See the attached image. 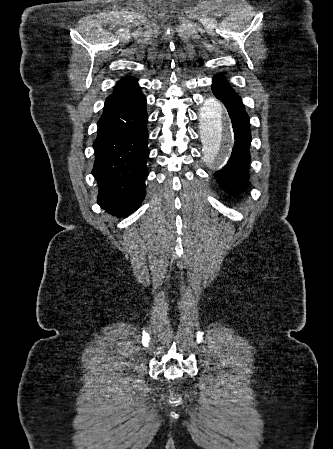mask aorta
<instances>
[{
    "instance_id": "aorta-1",
    "label": "aorta",
    "mask_w": 333,
    "mask_h": 449,
    "mask_svg": "<svg viewBox=\"0 0 333 449\" xmlns=\"http://www.w3.org/2000/svg\"><path fill=\"white\" fill-rule=\"evenodd\" d=\"M201 123L206 158L212 164H218L225 159L233 144L231 125L220 102L210 100L204 105Z\"/></svg>"
}]
</instances>
